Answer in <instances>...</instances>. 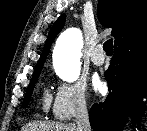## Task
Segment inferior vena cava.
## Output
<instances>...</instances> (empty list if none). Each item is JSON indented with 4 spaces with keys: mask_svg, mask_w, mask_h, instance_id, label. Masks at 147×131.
I'll list each match as a JSON object with an SVG mask.
<instances>
[{
    "mask_svg": "<svg viewBox=\"0 0 147 131\" xmlns=\"http://www.w3.org/2000/svg\"><path fill=\"white\" fill-rule=\"evenodd\" d=\"M76 125L78 131H91L88 110L85 102H80L76 108Z\"/></svg>",
    "mask_w": 147,
    "mask_h": 131,
    "instance_id": "inferior-vena-cava-1",
    "label": "inferior vena cava"
}]
</instances>
